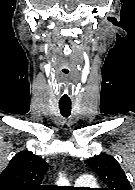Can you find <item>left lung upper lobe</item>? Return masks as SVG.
<instances>
[{
    "mask_svg": "<svg viewBox=\"0 0 135 190\" xmlns=\"http://www.w3.org/2000/svg\"><path fill=\"white\" fill-rule=\"evenodd\" d=\"M86 164L107 185L104 190H132L130 182L114 157L100 154L88 159Z\"/></svg>",
    "mask_w": 135,
    "mask_h": 190,
    "instance_id": "left-lung-upper-lobe-1",
    "label": "left lung upper lobe"
}]
</instances>
